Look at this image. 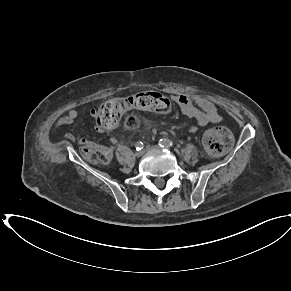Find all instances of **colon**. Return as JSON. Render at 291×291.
I'll list each match as a JSON object with an SVG mask.
<instances>
[{"label": "colon", "mask_w": 291, "mask_h": 291, "mask_svg": "<svg viewBox=\"0 0 291 291\" xmlns=\"http://www.w3.org/2000/svg\"><path fill=\"white\" fill-rule=\"evenodd\" d=\"M170 101L160 93L142 91L126 97L115 98L105 102L97 111V130H112L130 111H146L161 114L169 113ZM232 144L230 131L223 126H214L208 129L203 136V146L211 155H220L226 152ZM82 154L90 161L98 164H107L111 160V151L103 146L91 143L83 145Z\"/></svg>", "instance_id": "obj_1"}]
</instances>
